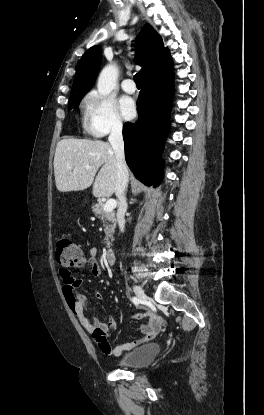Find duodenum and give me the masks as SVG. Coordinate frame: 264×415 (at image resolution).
I'll return each instance as SVG.
<instances>
[{"instance_id": "duodenum-1", "label": "duodenum", "mask_w": 264, "mask_h": 415, "mask_svg": "<svg viewBox=\"0 0 264 415\" xmlns=\"http://www.w3.org/2000/svg\"><path fill=\"white\" fill-rule=\"evenodd\" d=\"M105 261L108 265L113 266L115 263V253L113 248L107 249L105 253Z\"/></svg>"}]
</instances>
